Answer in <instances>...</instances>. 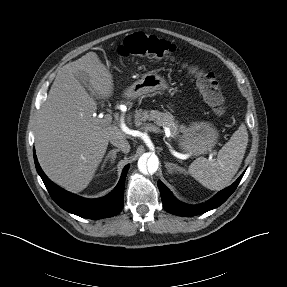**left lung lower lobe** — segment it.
I'll return each instance as SVG.
<instances>
[{
	"label": "left lung lower lobe",
	"mask_w": 287,
	"mask_h": 287,
	"mask_svg": "<svg viewBox=\"0 0 287 287\" xmlns=\"http://www.w3.org/2000/svg\"><path fill=\"white\" fill-rule=\"evenodd\" d=\"M243 175L244 173L231 186L223 189L212 199L200 205H186L179 202L175 199L170 190L161 181H158L163 207L167 212L178 216H194L203 214L224 203L235 191Z\"/></svg>",
	"instance_id": "1"
}]
</instances>
